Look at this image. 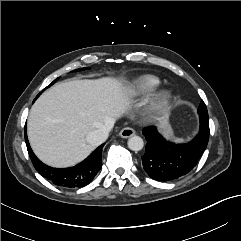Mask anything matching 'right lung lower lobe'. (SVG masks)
Listing matches in <instances>:
<instances>
[{
  "label": "right lung lower lobe",
  "instance_id": "1",
  "mask_svg": "<svg viewBox=\"0 0 241 241\" xmlns=\"http://www.w3.org/2000/svg\"><path fill=\"white\" fill-rule=\"evenodd\" d=\"M25 142L35 169L45 178L66 188H79L88 185L102 167L101 154L104 144L100 145L80 164L65 169L52 168L42 163L33 153L25 127Z\"/></svg>",
  "mask_w": 241,
  "mask_h": 241
}]
</instances>
